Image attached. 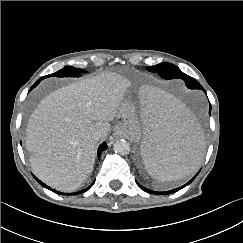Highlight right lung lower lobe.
<instances>
[{
    "mask_svg": "<svg viewBox=\"0 0 243 243\" xmlns=\"http://www.w3.org/2000/svg\"><path fill=\"white\" fill-rule=\"evenodd\" d=\"M42 79L40 78L32 87V89L37 86L39 84V82L41 81ZM107 148V144L104 142L102 143L99 148H98V157L100 156V154L102 153L103 150H105ZM42 186H44L45 188H48V189H51L50 187H48L47 185H45L44 183H42L40 180H38L36 177H34ZM90 187L82 190V191H79V192H75L73 193L74 195L76 194H80V193H83L85 191H87ZM53 192L57 193V194H63L62 192H58L56 190H53ZM70 195V194H69Z\"/></svg>",
    "mask_w": 243,
    "mask_h": 243,
    "instance_id": "1",
    "label": "right lung lower lobe"
}]
</instances>
